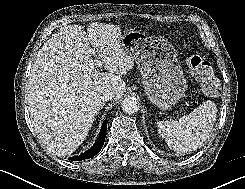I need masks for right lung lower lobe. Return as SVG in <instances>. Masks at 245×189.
Listing matches in <instances>:
<instances>
[{
    "mask_svg": "<svg viewBox=\"0 0 245 189\" xmlns=\"http://www.w3.org/2000/svg\"><path fill=\"white\" fill-rule=\"evenodd\" d=\"M107 123H108V120H105L103 122V125H102L101 130H100L99 137L96 140V142L94 143V145L89 150L85 151L84 153H82L79 156L70 157L68 159L72 160V161H78V160H84V159L94 157L103 147L105 137H106Z\"/></svg>",
    "mask_w": 245,
    "mask_h": 189,
    "instance_id": "98d812e1",
    "label": "right lung lower lobe"
}]
</instances>
